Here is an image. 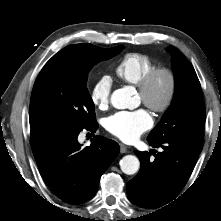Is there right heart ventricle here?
Segmentation results:
<instances>
[{"label":"right heart ventricle","mask_w":221,"mask_h":221,"mask_svg":"<svg viewBox=\"0 0 221 221\" xmlns=\"http://www.w3.org/2000/svg\"><path fill=\"white\" fill-rule=\"evenodd\" d=\"M156 66V61L147 54L128 53L118 62L116 75L124 82L138 85L142 78Z\"/></svg>","instance_id":"right-heart-ventricle-1"}]
</instances>
